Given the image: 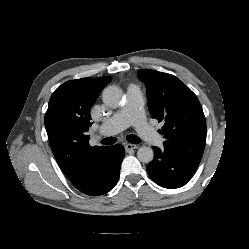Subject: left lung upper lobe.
Wrapping results in <instances>:
<instances>
[{
    "instance_id": "1",
    "label": "left lung upper lobe",
    "mask_w": 249,
    "mask_h": 249,
    "mask_svg": "<svg viewBox=\"0 0 249 249\" xmlns=\"http://www.w3.org/2000/svg\"><path fill=\"white\" fill-rule=\"evenodd\" d=\"M145 83L149 111L163 121L164 147L200 163L206 140V120L196 95L177 77L150 69L138 71Z\"/></svg>"
}]
</instances>
